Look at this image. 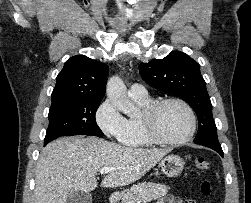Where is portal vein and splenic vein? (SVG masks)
Here are the masks:
<instances>
[{
  "mask_svg": "<svg viewBox=\"0 0 251 203\" xmlns=\"http://www.w3.org/2000/svg\"><path fill=\"white\" fill-rule=\"evenodd\" d=\"M113 170H114L113 168L104 167V168H101L99 171H100L101 174H108V173H110Z\"/></svg>",
  "mask_w": 251,
  "mask_h": 203,
  "instance_id": "1",
  "label": "portal vein and splenic vein"
}]
</instances>
